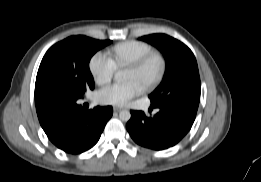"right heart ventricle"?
<instances>
[{
    "instance_id": "obj_1",
    "label": "right heart ventricle",
    "mask_w": 261,
    "mask_h": 182,
    "mask_svg": "<svg viewBox=\"0 0 261 182\" xmlns=\"http://www.w3.org/2000/svg\"><path fill=\"white\" fill-rule=\"evenodd\" d=\"M152 51L153 48L149 44L130 40L113 46L109 58L115 68H124Z\"/></svg>"
}]
</instances>
